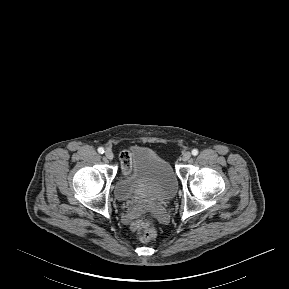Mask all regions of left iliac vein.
<instances>
[{
  "label": "left iliac vein",
  "instance_id": "left-iliac-vein-1",
  "mask_svg": "<svg viewBox=\"0 0 289 289\" xmlns=\"http://www.w3.org/2000/svg\"><path fill=\"white\" fill-rule=\"evenodd\" d=\"M191 158V153L190 152H185L182 156V160L184 162L188 161Z\"/></svg>",
  "mask_w": 289,
  "mask_h": 289
}]
</instances>
